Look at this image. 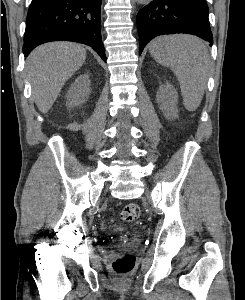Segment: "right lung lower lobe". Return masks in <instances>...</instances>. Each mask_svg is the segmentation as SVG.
<instances>
[{
    "label": "right lung lower lobe",
    "instance_id": "right-lung-lower-lobe-1",
    "mask_svg": "<svg viewBox=\"0 0 245 300\" xmlns=\"http://www.w3.org/2000/svg\"><path fill=\"white\" fill-rule=\"evenodd\" d=\"M101 0H32L24 34L25 56L50 41H74L91 46L106 61L101 42Z\"/></svg>",
    "mask_w": 245,
    "mask_h": 300
}]
</instances>
